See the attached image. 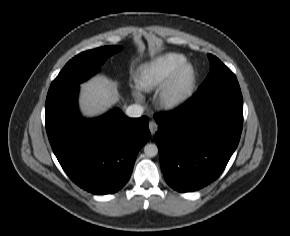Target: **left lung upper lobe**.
<instances>
[{"mask_svg":"<svg viewBox=\"0 0 290 236\" xmlns=\"http://www.w3.org/2000/svg\"><path fill=\"white\" fill-rule=\"evenodd\" d=\"M210 61V72L202 83V85L198 88V91H203L224 83L237 81L234 73L226 67L217 57L207 54Z\"/></svg>","mask_w":290,"mask_h":236,"instance_id":"1","label":"left lung upper lobe"}]
</instances>
